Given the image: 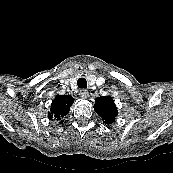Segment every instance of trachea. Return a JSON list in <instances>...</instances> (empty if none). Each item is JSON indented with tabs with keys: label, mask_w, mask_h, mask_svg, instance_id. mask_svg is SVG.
<instances>
[{
	"label": "trachea",
	"mask_w": 173,
	"mask_h": 173,
	"mask_svg": "<svg viewBox=\"0 0 173 173\" xmlns=\"http://www.w3.org/2000/svg\"><path fill=\"white\" fill-rule=\"evenodd\" d=\"M77 86L80 89H86L87 88V81L84 78H79L77 81Z\"/></svg>",
	"instance_id": "trachea-1"
}]
</instances>
